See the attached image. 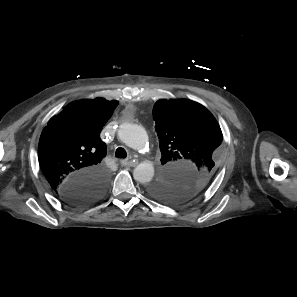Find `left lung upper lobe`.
<instances>
[{
    "mask_svg": "<svg viewBox=\"0 0 297 297\" xmlns=\"http://www.w3.org/2000/svg\"><path fill=\"white\" fill-rule=\"evenodd\" d=\"M153 115L165 168L148 192L167 203L188 202L205 190L219 169L220 126L204 106L187 99L159 100Z\"/></svg>",
    "mask_w": 297,
    "mask_h": 297,
    "instance_id": "obj_1",
    "label": "left lung upper lobe"
}]
</instances>
